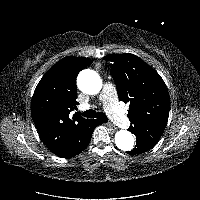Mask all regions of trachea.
Instances as JSON below:
<instances>
[{"label": "trachea", "mask_w": 200, "mask_h": 200, "mask_svg": "<svg viewBox=\"0 0 200 200\" xmlns=\"http://www.w3.org/2000/svg\"><path fill=\"white\" fill-rule=\"evenodd\" d=\"M82 115L84 117H87V118H95V117H97L103 123L108 122V118L103 112H96L93 109H90V110H87V111L83 112Z\"/></svg>", "instance_id": "1"}]
</instances>
